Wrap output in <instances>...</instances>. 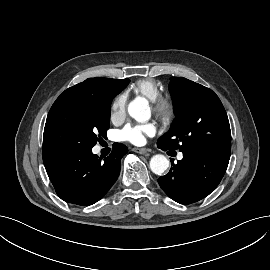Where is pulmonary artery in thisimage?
I'll return each mask as SVG.
<instances>
[{
	"mask_svg": "<svg viewBox=\"0 0 270 270\" xmlns=\"http://www.w3.org/2000/svg\"><path fill=\"white\" fill-rule=\"evenodd\" d=\"M178 158L181 159V158H182V155L180 154V155L178 156Z\"/></svg>",
	"mask_w": 270,
	"mask_h": 270,
	"instance_id": "pulmonary-artery-1",
	"label": "pulmonary artery"
}]
</instances>
